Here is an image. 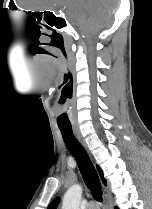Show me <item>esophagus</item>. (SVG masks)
I'll return each instance as SVG.
<instances>
[{
  "instance_id": "obj_1",
  "label": "esophagus",
  "mask_w": 152,
  "mask_h": 209,
  "mask_svg": "<svg viewBox=\"0 0 152 209\" xmlns=\"http://www.w3.org/2000/svg\"><path fill=\"white\" fill-rule=\"evenodd\" d=\"M74 132H75V134H76L78 140L81 142V144H82L84 147H86V144H85V142H84V140H83V138H82V136H81V134H80V132H79V130H78L77 127H74Z\"/></svg>"
}]
</instances>
